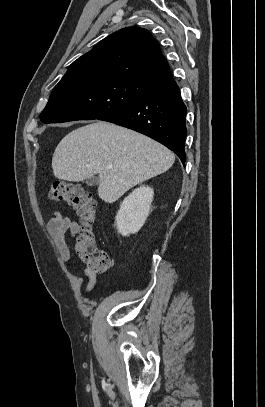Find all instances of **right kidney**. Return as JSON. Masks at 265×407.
Wrapping results in <instances>:
<instances>
[{
  "label": "right kidney",
  "instance_id": "obj_1",
  "mask_svg": "<svg viewBox=\"0 0 265 407\" xmlns=\"http://www.w3.org/2000/svg\"><path fill=\"white\" fill-rule=\"evenodd\" d=\"M153 188L141 186L129 194L121 203L115 224L122 236L137 233L144 225L153 200Z\"/></svg>",
  "mask_w": 265,
  "mask_h": 407
}]
</instances>
